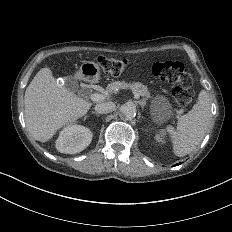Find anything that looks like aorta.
Segmentation results:
<instances>
[{
  "label": "aorta",
  "mask_w": 232,
  "mask_h": 232,
  "mask_svg": "<svg viewBox=\"0 0 232 232\" xmlns=\"http://www.w3.org/2000/svg\"><path fill=\"white\" fill-rule=\"evenodd\" d=\"M123 116L126 118V119H132L135 117L136 115V107L133 103L131 102H128L126 104H123L120 108Z\"/></svg>",
  "instance_id": "1"
}]
</instances>
